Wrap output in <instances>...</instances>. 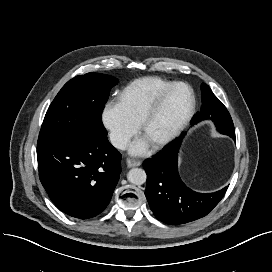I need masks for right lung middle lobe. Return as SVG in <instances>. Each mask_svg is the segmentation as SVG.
Listing matches in <instances>:
<instances>
[{
	"label": "right lung middle lobe",
	"instance_id": "1",
	"mask_svg": "<svg viewBox=\"0 0 272 272\" xmlns=\"http://www.w3.org/2000/svg\"><path fill=\"white\" fill-rule=\"evenodd\" d=\"M116 84V78L99 73H87L68 81L47 110L39 139L107 136L101 114Z\"/></svg>",
	"mask_w": 272,
	"mask_h": 272
}]
</instances>
